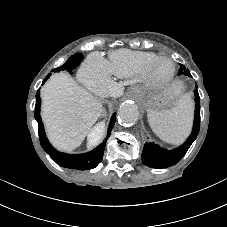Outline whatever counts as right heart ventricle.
Segmentation results:
<instances>
[{"mask_svg":"<svg viewBox=\"0 0 227 227\" xmlns=\"http://www.w3.org/2000/svg\"><path fill=\"white\" fill-rule=\"evenodd\" d=\"M156 58L152 52L120 50L111 63V70L118 76H131L147 67Z\"/></svg>","mask_w":227,"mask_h":227,"instance_id":"obj_1","label":"right heart ventricle"}]
</instances>
